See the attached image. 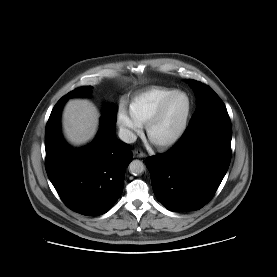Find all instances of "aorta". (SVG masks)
Segmentation results:
<instances>
[{
  "label": "aorta",
  "mask_w": 277,
  "mask_h": 277,
  "mask_svg": "<svg viewBox=\"0 0 277 277\" xmlns=\"http://www.w3.org/2000/svg\"><path fill=\"white\" fill-rule=\"evenodd\" d=\"M145 170V166L140 160H133L129 165V172L133 175H139Z\"/></svg>",
  "instance_id": "obj_1"
}]
</instances>
